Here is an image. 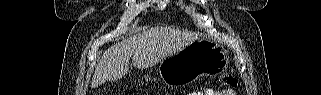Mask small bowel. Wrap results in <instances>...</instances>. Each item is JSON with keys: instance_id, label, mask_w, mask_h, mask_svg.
<instances>
[{"instance_id": "small-bowel-1", "label": "small bowel", "mask_w": 321, "mask_h": 95, "mask_svg": "<svg viewBox=\"0 0 321 95\" xmlns=\"http://www.w3.org/2000/svg\"><path fill=\"white\" fill-rule=\"evenodd\" d=\"M229 94H231V91H216L213 89H208L203 93H198L194 95H229Z\"/></svg>"}]
</instances>
